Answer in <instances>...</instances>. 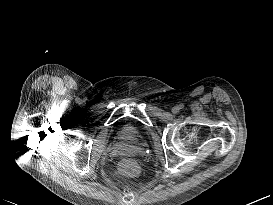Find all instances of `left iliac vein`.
I'll return each instance as SVG.
<instances>
[{"instance_id":"4c4485c4","label":"left iliac vein","mask_w":273,"mask_h":205,"mask_svg":"<svg viewBox=\"0 0 273 205\" xmlns=\"http://www.w3.org/2000/svg\"><path fill=\"white\" fill-rule=\"evenodd\" d=\"M178 112H179V107H178V106H174V107L172 108V113L176 114V113H178Z\"/></svg>"}]
</instances>
